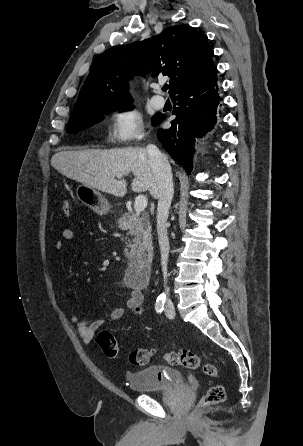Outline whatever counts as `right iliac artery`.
Returning <instances> with one entry per match:
<instances>
[{
  "mask_svg": "<svg viewBox=\"0 0 303 446\" xmlns=\"http://www.w3.org/2000/svg\"><path fill=\"white\" fill-rule=\"evenodd\" d=\"M165 300L164 299H157L155 303V310L157 313H161L164 310Z\"/></svg>",
  "mask_w": 303,
  "mask_h": 446,
  "instance_id": "obj_1",
  "label": "right iliac artery"
}]
</instances>
